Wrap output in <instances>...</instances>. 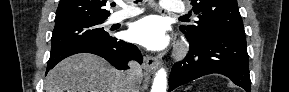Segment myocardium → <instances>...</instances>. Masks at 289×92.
Returning a JSON list of instances; mask_svg holds the SVG:
<instances>
[{
	"instance_id": "obj_1",
	"label": "myocardium",
	"mask_w": 289,
	"mask_h": 92,
	"mask_svg": "<svg viewBox=\"0 0 289 92\" xmlns=\"http://www.w3.org/2000/svg\"><path fill=\"white\" fill-rule=\"evenodd\" d=\"M185 51H186L185 46H184V45H181V46L178 48V50H177V55H178V56H181V55H183V54L185 53Z\"/></svg>"
}]
</instances>
